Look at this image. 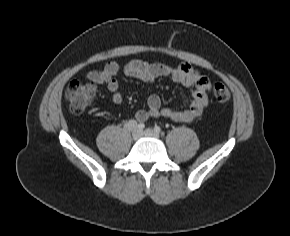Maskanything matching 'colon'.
Segmentation results:
<instances>
[{"instance_id":"5ec220e1","label":"colon","mask_w":290,"mask_h":236,"mask_svg":"<svg viewBox=\"0 0 290 236\" xmlns=\"http://www.w3.org/2000/svg\"><path fill=\"white\" fill-rule=\"evenodd\" d=\"M96 89L90 83L79 81L71 82L65 92L66 99L69 102L70 110L74 114H81L92 103ZM214 99L218 102H226L230 99L229 89L223 84H216L213 89Z\"/></svg>"}]
</instances>
